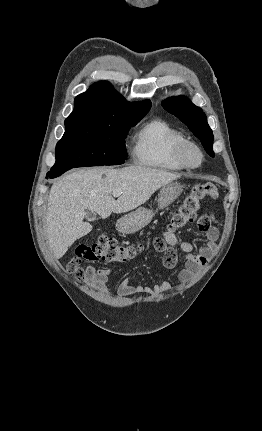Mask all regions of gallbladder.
<instances>
[{"mask_svg": "<svg viewBox=\"0 0 262 431\" xmlns=\"http://www.w3.org/2000/svg\"><path fill=\"white\" fill-rule=\"evenodd\" d=\"M86 219L88 221H94L96 219V214L93 212H88L86 215Z\"/></svg>", "mask_w": 262, "mask_h": 431, "instance_id": "bac80fb5", "label": "gallbladder"}]
</instances>
